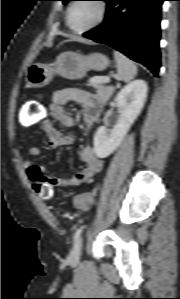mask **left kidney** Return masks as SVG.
Here are the masks:
<instances>
[{"instance_id":"obj_1","label":"left kidney","mask_w":180,"mask_h":299,"mask_svg":"<svg viewBox=\"0 0 180 299\" xmlns=\"http://www.w3.org/2000/svg\"><path fill=\"white\" fill-rule=\"evenodd\" d=\"M147 90L145 81L135 80L117 94L115 102L120 117L112 129L105 126L97 129L94 136V151L97 157L106 158L120 145L144 106Z\"/></svg>"}]
</instances>
